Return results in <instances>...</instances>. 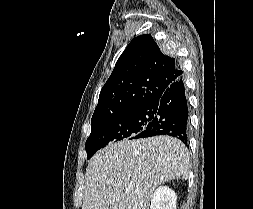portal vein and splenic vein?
Listing matches in <instances>:
<instances>
[{"mask_svg":"<svg viewBox=\"0 0 253 209\" xmlns=\"http://www.w3.org/2000/svg\"><path fill=\"white\" fill-rule=\"evenodd\" d=\"M126 192H130V190H129V189H127V190H126Z\"/></svg>","mask_w":253,"mask_h":209,"instance_id":"obj_1","label":"portal vein and splenic vein"}]
</instances>
